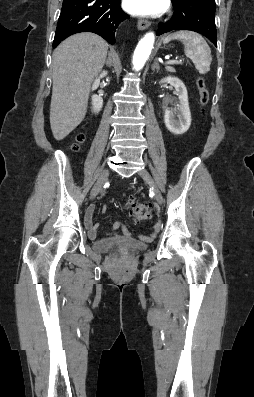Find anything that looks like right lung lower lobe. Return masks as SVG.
Masks as SVG:
<instances>
[{
    "mask_svg": "<svg viewBox=\"0 0 254 397\" xmlns=\"http://www.w3.org/2000/svg\"><path fill=\"white\" fill-rule=\"evenodd\" d=\"M128 18L129 15L120 8L119 0H63L53 48L79 32L96 33L114 44L116 29Z\"/></svg>",
    "mask_w": 254,
    "mask_h": 397,
    "instance_id": "98d812e1",
    "label": "right lung lower lobe"
}]
</instances>
